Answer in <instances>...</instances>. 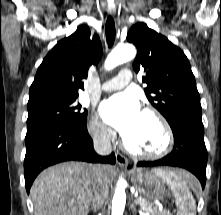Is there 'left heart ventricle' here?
Listing matches in <instances>:
<instances>
[{
	"mask_svg": "<svg viewBox=\"0 0 221 215\" xmlns=\"http://www.w3.org/2000/svg\"><path fill=\"white\" fill-rule=\"evenodd\" d=\"M124 139L132 149L141 152H155L164 142L159 124L154 118L143 113L135 129Z\"/></svg>",
	"mask_w": 221,
	"mask_h": 215,
	"instance_id": "1",
	"label": "left heart ventricle"
}]
</instances>
